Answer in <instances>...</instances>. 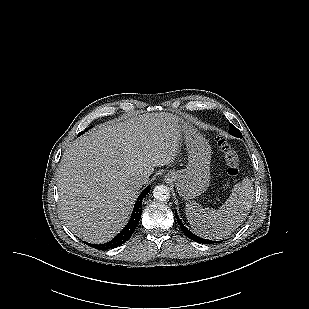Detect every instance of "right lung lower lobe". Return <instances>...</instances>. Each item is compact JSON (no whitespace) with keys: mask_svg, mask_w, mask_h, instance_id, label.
<instances>
[{"mask_svg":"<svg viewBox=\"0 0 309 309\" xmlns=\"http://www.w3.org/2000/svg\"><path fill=\"white\" fill-rule=\"evenodd\" d=\"M149 191H150V186L146 187V189H144V191H142V193L139 195L129 222L117 236H115L112 240L104 244H90L87 242H84V243L87 245L93 246L94 248L99 249V250H107V249L116 248L122 245L123 243H125L126 241H128L140 220L141 212H142V207H141L142 200Z\"/></svg>","mask_w":309,"mask_h":309,"instance_id":"1","label":"right lung lower lobe"}]
</instances>
